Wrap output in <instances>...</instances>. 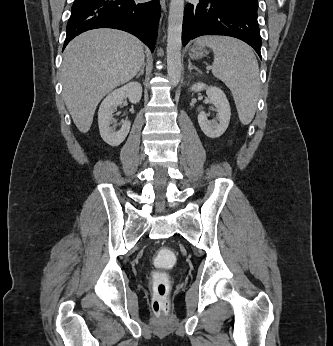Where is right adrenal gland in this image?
Returning <instances> with one entry per match:
<instances>
[{"label":"right adrenal gland","instance_id":"obj_1","mask_svg":"<svg viewBox=\"0 0 333 346\" xmlns=\"http://www.w3.org/2000/svg\"><path fill=\"white\" fill-rule=\"evenodd\" d=\"M144 68H145V63H143L142 67H141V70L139 71V73L136 75L137 78L140 77V75H143L144 74Z\"/></svg>","mask_w":333,"mask_h":346}]
</instances>
